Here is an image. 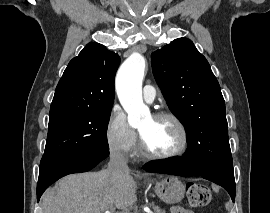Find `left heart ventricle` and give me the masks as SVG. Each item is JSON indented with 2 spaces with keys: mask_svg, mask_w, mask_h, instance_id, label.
<instances>
[{
  "mask_svg": "<svg viewBox=\"0 0 270 213\" xmlns=\"http://www.w3.org/2000/svg\"><path fill=\"white\" fill-rule=\"evenodd\" d=\"M138 130L152 153H170L176 150L182 142L179 129L170 119L156 120L151 116Z\"/></svg>",
  "mask_w": 270,
  "mask_h": 213,
  "instance_id": "left-heart-ventricle-1",
  "label": "left heart ventricle"
}]
</instances>
